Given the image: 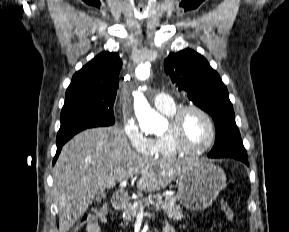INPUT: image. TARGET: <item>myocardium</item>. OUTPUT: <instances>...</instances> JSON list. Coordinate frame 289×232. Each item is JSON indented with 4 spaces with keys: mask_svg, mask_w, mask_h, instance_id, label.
I'll return each mask as SVG.
<instances>
[{
    "mask_svg": "<svg viewBox=\"0 0 289 232\" xmlns=\"http://www.w3.org/2000/svg\"><path fill=\"white\" fill-rule=\"evenodd\" d=\"M190 111H195L200 115H202L207 121L210 128V137L208 141L201 146L197 147L191 146L185 141L183 137L182 132L183 118ZM167 134L178 149L182 150L185 153L196 154L204 152L205 150L209 149L214 144L217 133L215 123L210 114L200 106L190 104L178 107L176 109L175 113L170 117Z\"/></svg>",
    "mask_w": 289,
    "mask_h": 232,
    "instance_id": "f54148a6",
    "label": "myocardium"
}]
</instances>
